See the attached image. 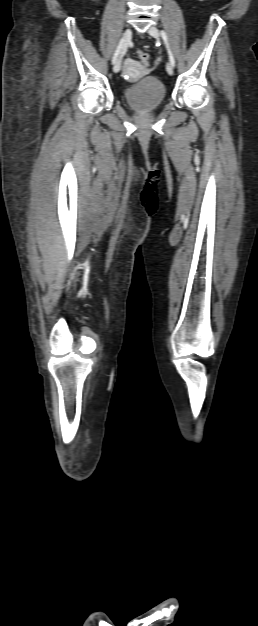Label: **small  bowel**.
<instances>
[{
    "label": "small bowel",
    "instance_id": "obj_1",
    "mask_svg": "<svg viewBox=\"0 0 258 626\" xmlns=\"http://www.w3.org/2000/svg\"><path fill=\"white\" fill-rule=\"evenodd\" d=\"M137 63L133 60L126 61V71L131 72L134 68H136Z\"/></svg>",
    "mask_w": 258,
    "mask_h": 626
}]
</instances>
